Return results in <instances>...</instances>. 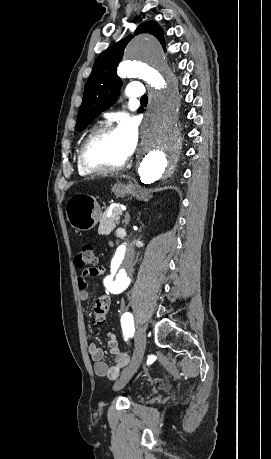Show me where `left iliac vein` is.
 <instances>
[{
    "label": "left iliac vein",
    "mask_w": 271,
    "mask_h": 459,
    "mask_svg": "<svg viewBox=\"0 0 271 459\" xmlns=\"http://www.w3.org/2000/svg\"><path fill=\"white\" fill-rule=\"evenodd\" d=\"M145 345H146V334L143 327H138L136 329V340H135V352L134 357L131 360L128 367H126L119 378V380L115 383L114 389L120 390L122 389L125 384L128 382L129 378L132 377L134 372L136 371L139 363L144 358L145 354Z\"/></svg>",
    "instance_id": "left-iliac-vein-1"
}]
</instances>
